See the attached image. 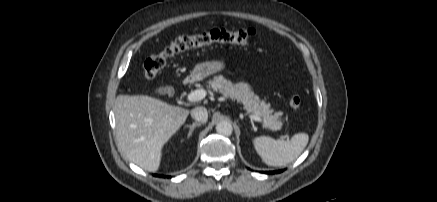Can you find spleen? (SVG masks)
I'll return each instance as SVG.
<instances>
[{
  "label": "spleen",
  "instance_id": "1",
  "mask_svg": "<svg viewBox=\"0 0 437 202\" xmlns=\"http://www.w3.org/2000/svg\"><path fill=\"white\" fill-rule=\"evenodd\" d=\"M309 141L307 133H297L291 140H275L268 136L255 137L254 148L268 166H285L302 153Z\"/></svg>",
  "mask_w": 437,
  "mask_h": 202
}]
</instances>
